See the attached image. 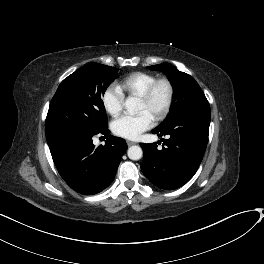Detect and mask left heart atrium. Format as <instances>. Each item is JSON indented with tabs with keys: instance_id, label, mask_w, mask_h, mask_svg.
<instances>
[{
	"instance_id": "1",
	"label": "left heart atrium",
	"mask_w": 264,
	"mask_h": 264,
	"mask_svg": "<svg viewBox=\"0 0 264 264\" xmlns=\"http://www.w3.org/2000/svg\"><path fill=\"white\" fill-rule=\"evenodd\" d=\"M154 124V118L148 112L138 115H124L112 123L113 132L120 137L136 139L141 133L150 129Z\"/></svg>"
}]
</instances>
